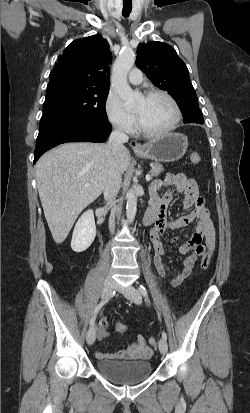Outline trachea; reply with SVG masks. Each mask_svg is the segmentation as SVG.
Returning <instances> with one entry per match:
<instances>
[{
  "label": "trachea",
  "mask_w": 250,
  "mask_h": 413,
  "mask_svg": "<svg viewBox=\"0 0 250 413\" xmlns=\"http://www.w3.org/2000/svg\"><path fill=\"white\" fill-rule=\"evenodd\" d=\"M132 10V4L131 3H124L123 4V10H122V15L126 18L129 16Z\"/></svg>",
  "instance_id": "3493384b"
}]
</instances>
